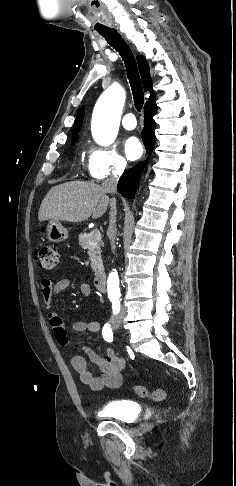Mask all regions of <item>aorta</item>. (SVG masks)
Masks as SVG:
<instances>
[{"instance_id": "1", "label": "aorta", "mask_w": 236, "mask_h": 486, "mask_svg": "<svg viewBox=\"0 0 236 486\" xmlns=\"http://www.w3.org/2000/svg\"><path fill=\"white\" fill-rule=\"evenodd\" d=\"M125 91L117 84L111 85L98 99L93 115L91 131L94 140L101 146H109L116 139ZM108 296H119V278L112 271L107 279Z\"/></svg>"}]
</instances>
